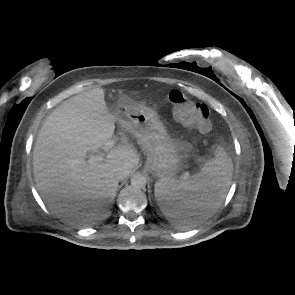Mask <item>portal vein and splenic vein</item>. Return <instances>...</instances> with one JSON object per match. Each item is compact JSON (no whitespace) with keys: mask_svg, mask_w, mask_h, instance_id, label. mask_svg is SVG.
Here are the masks:
<instances>
[{"mask_svg":"<svg viewBox=\"0 0 295 295\" xmlns=\"http://www.w3.org/2000/svg\"><path fill=\"white\" fill-rule=\"evenodd\" d=\"M114 145H115V143L113 141L107 142L104 145L103 149H104L105 152H108ZM103 158H104L103 154L94 155V156H91L88 159V162L91 163V164H97V163L101 162L103 160Z\"/></svg>","mask_w":295,"mask_h":295,"instance_id":"portal-vein-and-splenic-vein-1","label":"portal vein and splenic vein"}]
</instances>
